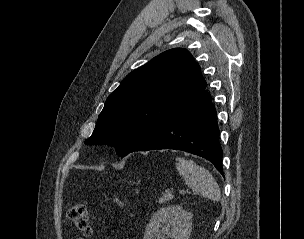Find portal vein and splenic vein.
Returning <instances> with one entry per match:
<instances>
[{"label":"portal vein and splenic vein","instance_id":"18ae733b","mask_svg":"<svg viewBox=\"0 0 304 239\" xmlns=\"http://www.w3.org/2000/svg\"><path fill=\"white\" fill-rule=\"evenodd\" d=\"M187 192V190H180V194H183V193H186Z\"/></svg>","mask_w":304,"mask_h":239}]
</instances>
